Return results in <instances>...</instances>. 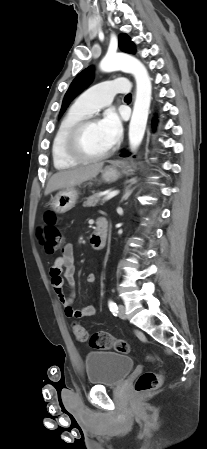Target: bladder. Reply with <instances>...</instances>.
<instances>
[{"label":"bladder","mask_w":207,"mask_h":449,"mask_svg":"<svg viewBox=\"0 0 207 449\" xmlns=\"http://www.w3.org/2000/svg\"><path fill=\"white\" fill-rule=\"evenodd\" d=\"M88 383L92 386H117L135 367L133 358L117 352H89L85 355Z\"/></svg>","instance_id":"obj_1"}]
</instances>
